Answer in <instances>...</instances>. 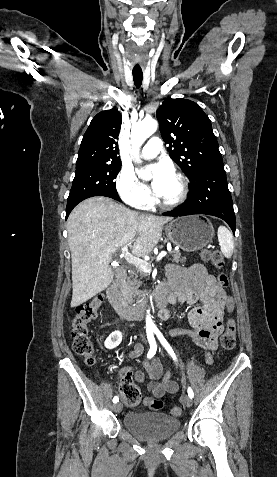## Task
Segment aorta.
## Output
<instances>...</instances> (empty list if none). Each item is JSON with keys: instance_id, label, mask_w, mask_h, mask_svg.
Returning <instances> with one entry per match:
<instances>
[{"instance_id": "762f6f07", "label": "aorta", "mask_w": 277, "mask_h": 477, "mask_svg": "<svg viewBox=\"0 0 277 477\" xmlns=\"http://www.w3.org/2000/svg\"><path fill=\"white\" fill-rule=\"evenodd\" d=\"M158 127V123L156 120L152 118H146L142 120L141 122H138L132 126L131 130V144H132V154L136 158L137 161H139L138 155H139V149L141 145L145 142V140L150 137ZM150 178V175L147 176V179ZM150 311H148V315L146 317V325L148 328H154L155 324L151 318V315L149 314Z\"/></svg>"}]
</instances>
